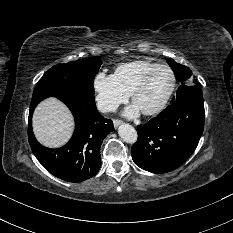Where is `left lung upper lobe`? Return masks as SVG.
Instances as JSON below:
<instances>
[{
  "label": "left lung upper lobe",
  "instance_id": "1",
  "mask_svg": "<svg viewBox=\"0 0 233 233\" xmlns=\"http://www.w3.org/2000/svg\"><path fill=\"white\" fill-rule=\"evenodd\" d=\"M167 63L173 69L177 81L182 82V85L178 88L176 92V97H174L172 100V103H173L176 99L180 98L187 92L195 89L197 86H188L189 83L187 81L192 75V72L188 67L181 65L179 63H176L174 60H171V59L167 60Z\"/></svg>",
  "mask_w": 233,
  "mask_h": 233
}]
</instances>
